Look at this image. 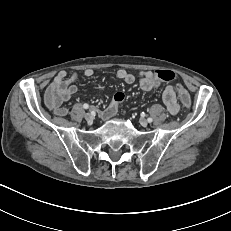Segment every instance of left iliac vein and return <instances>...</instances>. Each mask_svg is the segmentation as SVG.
<instances>
[{
    "label": "left iliac vein",
    "instance_id": "left-iliac-vein-1",
    "mask_svg": "<svg viewBox=\"0 0 231 231\" xmlns=\"http://www.w3.org/2000/svg\"><path fill=\"white\" fill-rule=\"evenodd\" d=\"M140 124L143 126V127H146L148 125V121L145 119V118H141L140 119Z\"/></svg>",
    "mask_w": 231,
    "mask_h": 231
}]
</instances>
